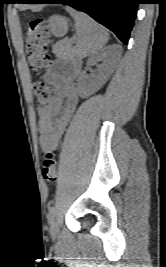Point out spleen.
I'll return each mask as SVG.
<instances>
[{"instance_id": "obj_1", "label": "spleen", "mask_w": 166, "mask_h": 267, "mask_svg": "<svg viewBox=\"0 0 166 267\" xmlns=\"http://www.w3.org/2000/svg\"><path fill=\"white\" fill-rule=\"evenodd\" d=\"M67 11L75 20L78 37L73 55L81 59L98 52L108 42V32L87 14L72 8Z\"/></svg>"}]
</instances>
